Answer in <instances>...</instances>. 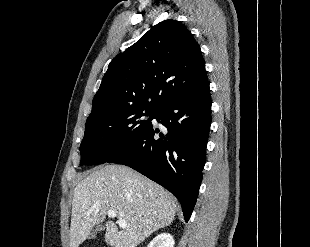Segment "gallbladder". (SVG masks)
Listing matches in <instances>:
<instances>
[{
	"instance_id": "gallbladder-1",
	"label": "gallbladder",
	"mask_w": 310,
	"mask_h": 247,
	"mask_svg": "<svg viewBox=\"0 0 310 247\" xmlns=\"http://www.w3.org/2000/svg\"><path fill=\"white\" fill-rule=\"evenodd\" d=\"M103 229H104L103 227H98V228L93 229L90 238H94L96 233L103 230Z\"/></svg>"
}]
</instances>
